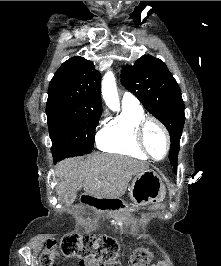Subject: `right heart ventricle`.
I'll return each mask as SVG.
<instances>
[{
  "label": "right heart ventricle",
  "mask_w": 221,
  "mask_h": 266,
  "mask_svg": "<svg viewBox=\"0 0 221 266\" xmlns=\"http://www.w3.org/2000/svg\"><path fill=\"white\" fill-rule=\"evenodd\" d=\"M145 117L141 106H123L119 116L110 120L97 136L98 147L106 152L147 159L136 141L137 123Z\"/></svg>",
  "instance_id": "e07e8e85"
}]
</instances>
